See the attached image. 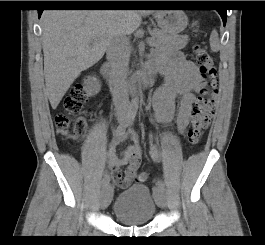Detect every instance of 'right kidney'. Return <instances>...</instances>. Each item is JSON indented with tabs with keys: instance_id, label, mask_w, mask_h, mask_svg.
<instances>
[{
	"instance_id": "1",
	"label": "right kidney",
	"mask_w": 265,
	"mask_h": 245,
	"mask_svg": "<svg viewBox=\"0 0 265 245\" xmlns=\"http://www.w3.org/2000/svg\"><path fill=\"white\" fill-rule=\"evenodd\" d=\"M100 88V81L94 77H88L84 81V90L86 91L87 95L97 94L100 91Z\"/></svg>"
}]
</instances>
